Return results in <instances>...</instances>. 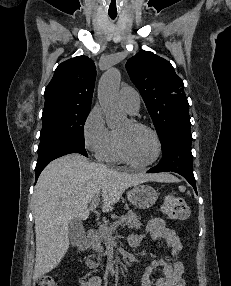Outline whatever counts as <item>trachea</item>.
<instances>
[{"label": "trachea", "mask_w": 231, "mask_h": 286, "mask_svg": "<svg viewBox=\"0 0 231 286\" xmlns=\"http://www.w3.org/2000/svg\"><path fill=\"white\" fill-rule=\"evenodd\" d=\"M109 16L112 20H114L116 18L117 14H109Z\"/></svg>", "instance_id": "trachea-1"}]
</instances>
